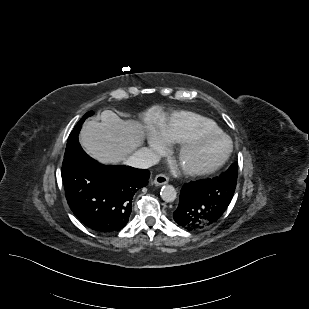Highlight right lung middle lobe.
Wrapping results in <instances>:
<instances>
[{"mask_svg": "<svg viewBox=\"0 0 309 309\" xmlns=\"http://www.w3.org/2000/svg\"><path fill=\"white\" fill-rule=\"evenodd\" d=\"M91 115H93V112H88V113H86L84 116H83V118L81 119V120H85L86 118H88L89 116H91Z\"/></svg>", "mask_w": 309, "mask_h": 309, "instance_id": "obj_1", "label": "right lung middle lobe"}]
</instances>
